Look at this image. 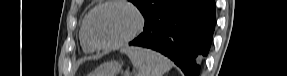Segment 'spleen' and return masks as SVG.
Segmentation results:
<instances>
[{
	"label": "spleen",
	"instance_id": "obj_1",
	"mask_svg": "<svg viewBox=\"0 0 287 76\" xmlns=\"http://www.w3.org/2000/svg\"><path fill=\"white\" fill-rule=\"evenodd\" d=\"M137 68V76H163L172 68L171 62L163 55L141 47H124L121 49Z\"/></svg>",
	"mask_w": 287,
	"mask_h": 76
}]
</instances>
